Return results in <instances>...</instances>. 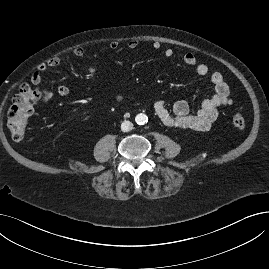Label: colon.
<instances>
[{"label": "colon", "instance_id": "colon-1", "mask_svg": "<svg viewBox=\"0 0 269 269\" xmlns=\"http://www.w3.org/2000/svg\"><path fill=\"white\" fill-rule=\"evenodd\" d=\"M41 99V93L24 84L14 96L12 106L7 117V126L14 140H21L26 132L27 122L34 113L36 105ZM233 125L238 130H243L246 122L241 113L236 109L232 118Z\"/></svg>", "mask_w": 269, "mask_h": 269}]
</instances>
